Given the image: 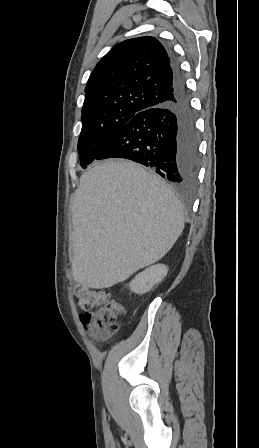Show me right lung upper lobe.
<instances>
[{
    "instance_id": "1",
    "label": "right lung upper lobe",
    "mask_w": 259,
    "mask_h": 448,
    "mask_svg": "<svg viewBox=\"0 0 259 448\" xmlns=\"http://www.w3.org/2000/svg\"><path fill=\"white\" fill-rule=\"evenodd\" d=\"M174 76L169 54L154 37L123 41L96 65L85 88L82 115L144 111L170 101Z\"/></svg>"
}]
</instances>
